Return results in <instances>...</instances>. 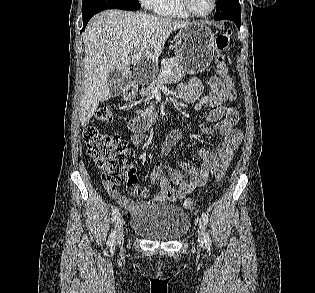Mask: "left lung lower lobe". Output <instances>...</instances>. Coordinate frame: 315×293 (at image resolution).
I'll return each instance as SVG.
<instances>
[{"label":"left lung lower lobe","instance_id":"1","mask_svg":"<svg viewBox=\"0 0 315 293\" xmlns=\"http://www.w3.org/2000/svg\"><path fill=\"white\" fill-rule=\"evenodd\" d=\"M231 21H233L237 25V27L240 29L241 19H233Z\"/></svg>","mask_w":315,"mask_h":293}]
</instances>
